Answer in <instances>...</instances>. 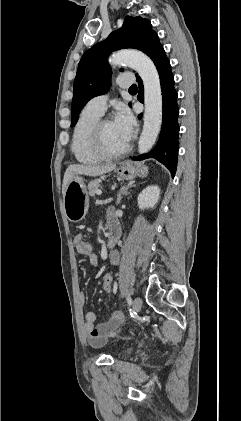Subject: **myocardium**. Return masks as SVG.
<instances>
[{
	"label": "myocardium",
	"mask_w": 241,
	"mask_h": 421,
	"mask_svg": "<svg viewBox=\"0 0 241 421\" xmlns=\"http://www.w3.org/2000/svg\"><path fill=\"white\" fill-rule=\"evenodd\" d=\"M110 119L104 118L100 119L94 126L92 137H91V143L92 148L95 151V153L100 156L102 159H115L119 158L123 155H125L130 150V144L127 143V145L122 148L119 151L112 152L109 151L104 144L103 140V129L107 122H110Z\"/></svg>",
	"instance_id": "myocardium-1"
}]
</instances>
